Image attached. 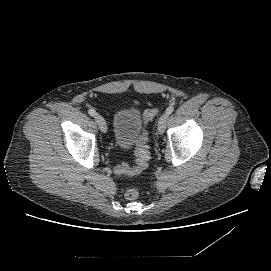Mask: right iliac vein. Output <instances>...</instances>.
<instances>
[{
    "mask_svg": "<svg viewBox=\"0 0 271 271\" xmlns=\"http://www.w3.org/2000/svg\"><path fill=\"white\" fill-rule=\"evenodd\" d=\"M95 121L99 127V129L103 132L106 133L107 132V124L106 121L104 120V118L100 115H96L95 116Z\"/></svg>",
    "mask_w": 271,
    "mask_h": 271,
    "instance_id": "1",
    "label": "right iliac vein"
}]
</instances>
